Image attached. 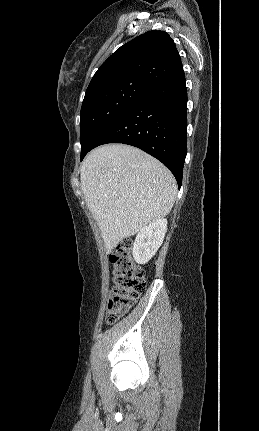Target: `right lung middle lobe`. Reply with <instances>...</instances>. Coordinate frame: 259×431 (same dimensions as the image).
<instances>
[{
  "label": "right lung middle lobe",
  "instance_id": "1",
  "mask_svg": "<svg viewBox=\"0 0 259 431\" xmlns=\"http://www.w3.org/2000/svg\"><path fill=\"white\" fill-rule=\"evenodd\" d=\"M149 88L133 82L93 93L83 100L80 113L81 158L98 136Z\"/></svg>",
  "mask_w": 259,
  "mask_h": 431
}]
</instances>
